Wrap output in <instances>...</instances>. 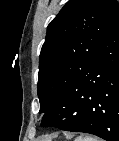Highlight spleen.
<instances>
[{"mask_svg":"<svg viewBox=\"0 0 119 141\" xmlns=\"http://www.w3.org/2000/svg\"><path fill=\"white\" fill-rule=\"evenodd\" d=\"M75 141H98L94 137L85 136V137H78Z\"/></svg>","mask_w":119,"mask_h":141,"instance_id":"3e777b00","label":"spleen"}]
</instances>
